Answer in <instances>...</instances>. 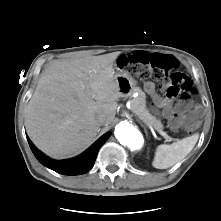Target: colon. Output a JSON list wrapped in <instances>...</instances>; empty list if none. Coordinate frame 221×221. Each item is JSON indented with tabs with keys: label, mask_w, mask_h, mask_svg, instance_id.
I'll return each mask as SVG.
<instances>
[{
	"label": "colon",
	"mask_w": 221,
	"mask_h": 221,
	"mask_svg": "<svg viewBox=\"0 0 221 221\" xmlns=\"http://www.w3.org/2000/svg\"><path fill=\"white\" fill-rule=\"evenodd\" d=\"M118 67L131 76L161 82L167 95L179 96L182 103L181 109L175 114L172 122L177 125L188 120L185 125L188 133L198 128V115L190 111V99L196 92L195 88L191 79L179 71V64L173 56L136 52L132 57L120 56Z\"/></svg>",
	"instance_id": "colon-1"
}]
</instances>
